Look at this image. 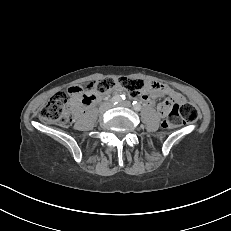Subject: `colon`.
<instances>
[{"label":"colon","mask_w":231,"mask_h":231,"mask_svg":"<svg viewBox=\"0 0 231 231\" xmlns=\"http://www.w3.org/2000/svg\"><path fill=\"white\" fill-rule=\"evenodd\" d=\"M120 87L130 96L137 97L145 92L153 93L154 90L149 88L148 84L142 79L131 77H107L88 83L83 89L84 105H90L94 101L96 95ZM77 91V89L75 90ZM79 104L73 99L72 93L61 92L55 95L45 106L39 111V119L44 124H54L59 126H69L72 123L73 112L78 108ZM166 118L163 126L166 129L174 128L182 122L192 123L199 117L198 109L191 103L171 102L165 111Z\"/></svg>","instance_id":"colon-1"}]
</instances>
